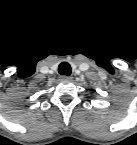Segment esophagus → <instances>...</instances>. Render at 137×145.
Masks as SVG:
<instances>
[{"instance_id":"1","label":"esophagus","mask_w":137,"mask_h":145,"mask_svg":"<svg viewBox=\"0 0 137 145\" xmlns=\"http://www.w3.org/2000/svg\"><path fill=\"white\" fill-rule=\"evenodd\" d=\"M61 80H63V81H70V80H72V77L63 75V76H61Z\"/></svg>"}]
</instances>
